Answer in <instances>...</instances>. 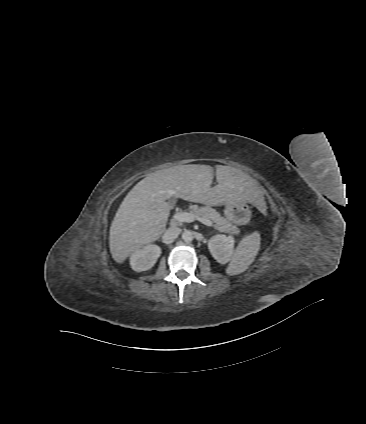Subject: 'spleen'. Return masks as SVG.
<instances>
[{"label": "spleen", "instance_id": "1", "mask_svg": "<svg viewBox=\"0 0 366 424\" xmlns=\"http://www.w3.org/2000/svg\"><path fill=\"white\" fill-rule=\"evenodd\" d=\"M260 240L259 232H253L240 241L226 269L228 275H238L248 269L260 249Z\"/></svg>", "mask_w": 366, "mask_h": 424}]
</instances>
